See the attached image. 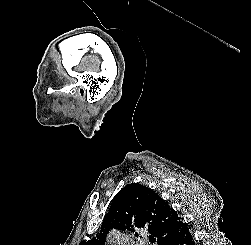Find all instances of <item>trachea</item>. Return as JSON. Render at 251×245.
<instances>
[{
	"instance_id": "trachea-1",
	"label": "trachea",
	"mask_w": 251,
	"mask_h": 245,
	"mask_svg": "<svg viewBox=\"0 0 251 245\" xmlns=\"http://www.w3.org/2000/svg\"><path fill=\"white\" fill-rule=\"evenodd\" d=\"M155 240H156V239H155L154 237H150V239H149L150 243H154Z\"/></svg>"
}]
</instances>
